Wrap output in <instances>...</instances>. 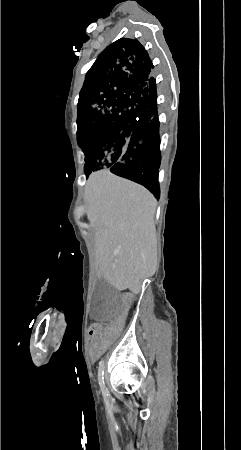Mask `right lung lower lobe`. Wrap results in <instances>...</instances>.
I'll use <instances>...</instances> for the list:
<instances>
[{
    "mask_svg": "<svg viewBox=\"0 0 241 450\" xmlns=\"http://www.w3.org/2000/svg\"><path fill=\"white\" fill-rule=\"evenodd\" d=\"M146 83L147 109L142 117L124 126L120 131L132 130L142 134L143 140L114 164L110 171L145 186L159 198L158 173L161 156L156 81L150 76Z\"/></svg>",
    "mask_w": 241,
    "mask_h": 450,
    "instance_id": "1",
    "label": "right lung lower lobe"
}]
</instances>
